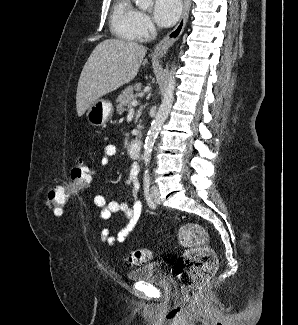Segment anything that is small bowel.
I'll use <instances>...</instances> for the list:
<instances>
[{
  "label": "small bowel",
  "mask_w": 298,
  "mask_h": 325,
  "mask_svg": "<svg viewBox=\"0 0 298 325\" xmlns=\"http://www.w3.org/2000/svg\"><path fill=\"white\" fill-rule=\"evenodd\" d=\"M117 153V148L113 144H108L104 147L103 154L100 159L102 166H107L110 159ZM139 165L133 163L130 167L129 175L125 181V188L129 189L133 196L132 204L126 201L112 200L107 202L104 195L98 194L94 197V204L100 209V217L107 220L112 214L122 212L128 220L127 225L121 229L116 235L111 234L108 228H103L100 233L101 241L110 246L116 243L124 242L128 235L136 228L141 217L143 202L138 197L140 183L138 180Z\"/></svg>",
  "instance_id": "c3829d8e"
}]
</instances>
